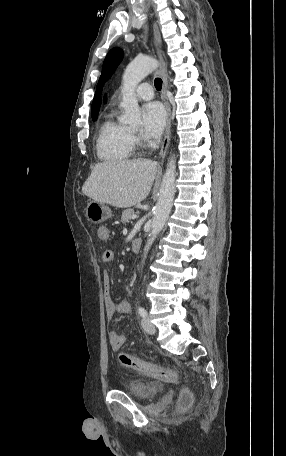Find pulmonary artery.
Here are the masks:
<instances>
[{
    "label": "pulmonary artery",
    "instance_id": "1",
    "mask_svg": "<svg viewBox=\"0 0 286 456\" xmlns=\"http://www.w3.org/2000/svg\"><path fill=\"white\" fill-rule=\"evenodd\" d=\"M135 95L139 100H150L154 96V91L150 84L142 83L135 89Z\"/></svg>",
    "mask_w": 286,
    "mask_h": 456
}]
</instances>
